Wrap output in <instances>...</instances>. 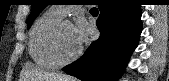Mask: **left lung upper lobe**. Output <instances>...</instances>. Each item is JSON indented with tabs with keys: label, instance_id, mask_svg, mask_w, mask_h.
<instances>
[{
	"label": "left lung upper lobe",
	"instance_id": "5c2ea615",
	"mask_svg": "<svg viewBox=\"0 0 169 81\" xmlns=\"http://www.w3.org/2000/svg\"><path fill=\"white\" fill-rule=\"evenodd\" d=\"M31 13L28 18L27 28L29 29L35 18L47 6V0H32Z\"/></svg>",
	"mask_w": 169,
	"mask_h": 81
}]
</instances>
